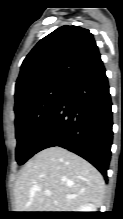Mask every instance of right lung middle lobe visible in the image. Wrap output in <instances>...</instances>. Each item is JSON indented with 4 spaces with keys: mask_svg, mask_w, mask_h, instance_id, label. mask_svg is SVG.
<instances>
[{
    "mask_svg": "<svg viewBox=\"0 0 123 219\" xmlns=\"http://www.w3.org/2000/svg\"><path fill=\"white\" fill-rule=\"evenodd\" d=\"M65 86L49 85L15 102L16 160L19 165L37 152L38 141L63 96Z\"/></svg>",
    "mask_w": 123,
    "mask_h": 219,
    "instance_id": "obj_1",
    "label": "right lung middle lobe"
}]
</instances>
